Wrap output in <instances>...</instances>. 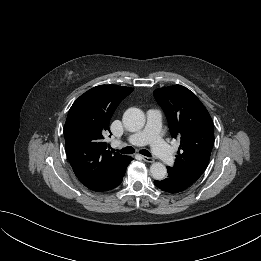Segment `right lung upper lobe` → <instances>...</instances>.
Instances as JSON below:
<instances>
[{"label":"right lung upper lobe","instance_id":"1","mask_svg":"<svg viewBox=\"0 0 261 261\" xmlns=\"http://www.w3.org/2000/svg\"><path fill=\"white\" fill-rule=\"evenodd\" d=\"M132 91L117 85L96 86L81 95L68 112L64 127L66 153L79 181L91 190L112 181L130 158L110 152L104 134L109 131L116 107Z\"/></svg>","mask_w":261,"mask_h":261}]
</instances>
